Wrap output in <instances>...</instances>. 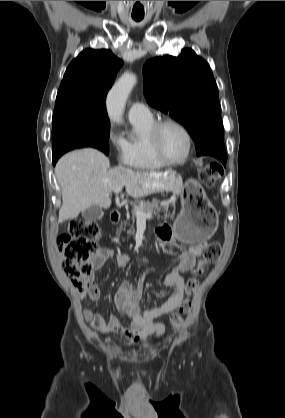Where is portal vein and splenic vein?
I'll return each instance as SVG.
<instances>
[{"label":"portal vein and splenic vein","mask_w":285,"mask_h":418,"mask_svg":"<svg viewBox=\"0 0 285 418\" xmlns=\"http://www.w3.org/2000/svg\"><path fill=\"white\" fill-rule=\"evenodd\" d=\"M114 193L118 194L122 191V187H116L113 189ZM134 210L136 211V217L138 221L145 222L146 219L152 217V213H144L143 211L139 210L136 205H134Z\"/></svg>","instance_id":"18ae733b"}]
</instances>
